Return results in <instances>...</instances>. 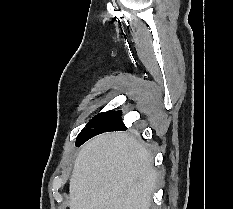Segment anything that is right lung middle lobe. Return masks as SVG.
Segmentation results:
<instances>
[{"mask_svg":"<svg viewBox=\"0 0 233 209\" xmlns=\"http://www.w3.org/2000/svg\"><path fill=\"white\" fill-rule=\"evenodd\" d=\"M121 115V111H107L99 113L92 120H90L87 126L80 132L76 140V145L78 146L80 140L87 136L89 137L91 134L97 131L115 126H124L121 120Z\"/></svg>","mask_w":233,"mask_h":209,"instance_id":"dd1d6c3e","label":"right lung middle lobe"}]
</instances>
